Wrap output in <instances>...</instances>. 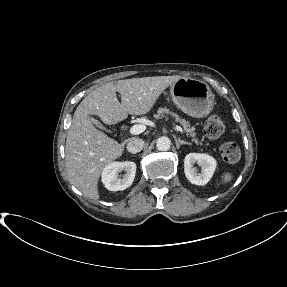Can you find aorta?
<instances>
[{"label": "aorta", "instance_id": "aorta-1", "mask_svg": "<svg viewBox=\"0 0 287 287\" xmlns=\"http://www.w3.org/2000/svg\"><path fill=\"white\" fill-rule=\"evenodd\" d=\"M156 147L160 151H167L171 147V141L168 137L161 136L156 141Z\"/></svg>", "mask_w": 287, "mask_h": 287}]
</instances>
